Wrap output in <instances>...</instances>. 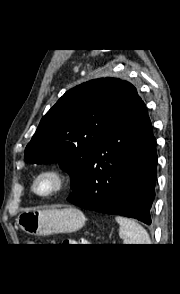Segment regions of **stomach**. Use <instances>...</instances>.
<instances>
[{
    "mask_svg": "<svg viewBox=\"0 0 180 294\" xmlns=\"http://www.w3.org/2000/svg\"><path fill=\"white\" fill-rule=\"evenodd\" d=\"M19 227L30 235L47 236L72 233L85 223L84 214L76 208L25 211L16 219Z\"/></svg>",
    "mask_w": 180,
    "mask_h": 294,
    "instance_id": "1",
    "label": "stomach"
}]
</instances>
